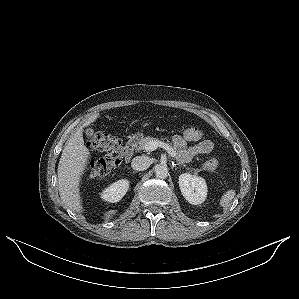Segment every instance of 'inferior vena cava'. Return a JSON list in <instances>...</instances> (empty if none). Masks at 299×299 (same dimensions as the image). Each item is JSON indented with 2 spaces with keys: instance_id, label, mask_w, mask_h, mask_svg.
<instances>
[{
  "instance_id": "1",
  "label": "inferior vena cava",
  "mask_w": 299,
  "mask_h": 299,
  "mask_svg": "<svg viewBox=\"0 0 299 299\" xmlns=\"http://www.w3.org/2000/svg\"><path fill=\"white\" fill-rule=\"evenodd\" d=\"M150 166L149 158L146 156H137L133 158L131 167L136 171H144Z\"/></svg>"
}]
</instances>
